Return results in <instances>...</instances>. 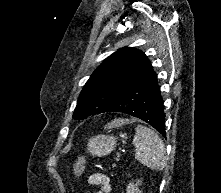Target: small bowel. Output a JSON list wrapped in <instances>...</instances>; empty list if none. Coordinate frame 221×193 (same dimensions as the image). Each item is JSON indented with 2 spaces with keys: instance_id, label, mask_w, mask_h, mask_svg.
<instances>
[{
  "instance_id": "c3829d8e",
  "label": "small bowel",
  "mask_w": 221,
  "mask_h": 193,
  "mask_svg": "<svg viewBox=\"0 0 221 193\" xmlns=\"http://www.w3.org/2000/svg\"><path fill=\"white\" fill-rule=\"evenodd\" d=\"M88 184L92 186H99L100 190L96 193H110V179L109 177L102 172H97L89 176Z\"/></svg>"
}]
</instances>
